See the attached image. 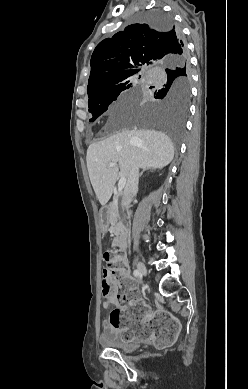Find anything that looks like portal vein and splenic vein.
Wrapping results in <instances>:
<instances>
[{
  "label": "portal vein and splenic vein",
  "mask_w": 248,
  "mask_h": 389,
  "mask_svg": "<svg viewBox=\"0 0 248 389\" xmlns=\"http://www.w3.org/2000/svg\"><path fill=\"white\" fill-rule=\"evenodd\" d=\"M109 166L110 167H118V164L117 163H110ZM125 184H126V177L122 176L118 182V192H121L123 190V188L125 187Z\"/></svg>",
  "instance_id": "18ae733b"
}]
</instances>
